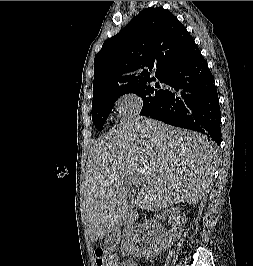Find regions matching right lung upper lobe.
<instances>
[{
    "mask_svg": "<svg viewBox=\"0 0 253 266\" xmlns=\"http://www.w3.org/2000/svg\"><path fill=\"white\" fill-rule=\"evenodd\" d=\"M197 50L192 36L170 11L146 8L107 39L95 56L93 102L155 80L151 74L161 80Z\"/></svg>",
    "mask_w": 253,
    "mask_h": 266,
    "instance_id": "cb5924a9",
    "label": "right lung upper lobe"
}]
</instances>
